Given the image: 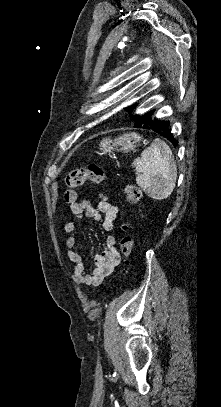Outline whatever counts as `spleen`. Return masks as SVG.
I'll return each instance as SVG.
<instances>
[{
  "label": "spleen",
  "mask_w": 221,
  "mask_h": 407,
  "mask_svg": "<svg viewBox=\"0 0 221 407\" xmlns=\"http://www.w3.org/2000/svg\"><path fill=\"white\" fill-rule=\"evenodd\" d=\"M136 183L150 198L163 200L173 192L177 180V166L167 143L155 139L144 149L141 157L132 162Z\"/></svg>",
  "instance_id": "spleen-1"
}]
</instances>
